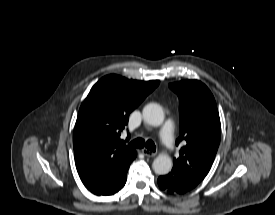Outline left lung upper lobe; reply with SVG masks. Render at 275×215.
Masks as SVG:
<instances>
[{"mask_svg": "<svg viewBox=\"0 0 275 215\" xmlns=\"http://www.w3.org/2000/svg\"><path fill=\"white\" fill-rule=\"evenodd\" d=\"M179 97L181 135L185 146L173 167L201 180L208 174L220 143V118L210 90L198 80H183L169 84Z\"/></svg>", "mask_w": 275, "mask_h": 215, "instance_id": "left-lung-upper-lobe-1", "label": "left lung upper lobe"}]
</instances>
